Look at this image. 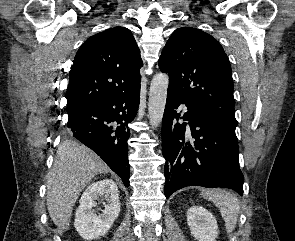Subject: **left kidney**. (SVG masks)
Masks as SVG:
<instances>
[{"label": "left kidney", "mask_w": 295, "mask_h": 241, "mask_svg": "<svg viewBox=\"0 0 295 241\" xmlns=\"http://www.w3.org/2000/svg\"><path fill=\"white\" fill-rule=\"evenodd\" d=\"M187 223L191 234L198 241H215L218 225L211 212L202 206H192L187 211Z\"/></svg>", "instance_id": "obj_1"}]
</instances>
